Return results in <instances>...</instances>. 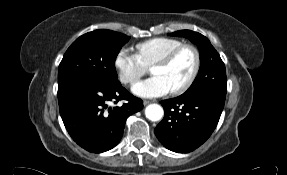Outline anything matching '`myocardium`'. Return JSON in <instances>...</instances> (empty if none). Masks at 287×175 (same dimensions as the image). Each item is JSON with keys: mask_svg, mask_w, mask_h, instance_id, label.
<instances>
[{"mask_svg": "<svg viewBox=\"0 0 287 175\" xmlns=\"http://www.w3.org/2000/svg\"><path fill=\"white\" fill-rule=\"evenodd\" d=\"M185 49H190L194 53V57H195L194 68H193L191 75L189 76V78L186 80L184 84H182L180 87L174 90H171V94L173 95H180L186 92L188 89H190V87L196 81L199 75L200 69H201V54H200L199 49L193 44L183 43L175 47L174 49L170 50L169 52H167L165 55H163L158 60H156L154 64L152 65V68H153L155 66L169 64L181 51Z\"/></svg>", "mask_w": 287, "mask_h": 175, "instance_id": "myocardium-1", "label": "myocardium"}]
</instances>
